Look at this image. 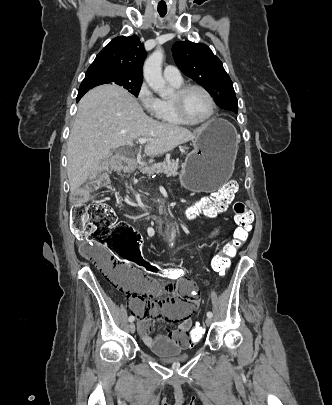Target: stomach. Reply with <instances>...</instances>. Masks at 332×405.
<instances>
[{
  "instance_id": "1",
  "label": "stomach",
  "mask_w": 332,
  "mask_h": 405,
  "mask_svg": "<svg viewBox=\"0 0 332 405\" xmlns=\"http://www.w3.org/2000/svg\"><path fill=\"white\" fill-rule=\"evenodd\" d=\"M193 140L180 181L192 191H215L232 176L239 138L232 124L220 118L208 121Z\"/></svg>"
}]
</instances>
